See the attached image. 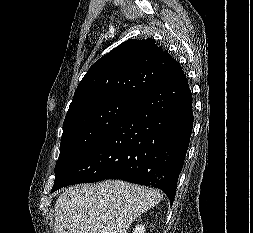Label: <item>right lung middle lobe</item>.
<instances>
[{
  "mask_svg": "<svg viewBox=\"0 0 253 233\" xmlns=\"http://www.w3.org/2000/svg\"><path fill=\"white\" fill-rule=\"evenodd\" d=\"M134 101L124 97L108 98L78 107L66 115L61 151L55 166V182L116 126Z\"/></svg>",
  "mask_w": 253,
  "mask_h": 233,
  "instance_id": "right-lung-middle-lobe-1",
  "label": "right lung middle lobe"
}]
</instances>
